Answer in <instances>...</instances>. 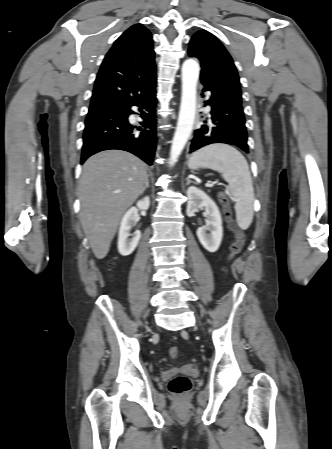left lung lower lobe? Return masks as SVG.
<instances>
[{"instance_id": "left-lung-lower-lobe-1", "label": "left lung lower lobe", "mask_w": 332, "mask_h": 449, "mask_svg": "<svg viewBox=\"0 0 332 449\" xmlns=\"http://www.w3.org/2000/svg\"><path fill=\"white\" fill-rule=\"evenodd\" d=\"M203 91L211 92L209 99L205 101L206 105L211 106V117L193 132L189 153L214 143L235 145L249 153L242 105L207 87H204Z\"/></svg>"}]
</instances>
